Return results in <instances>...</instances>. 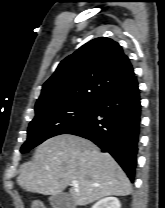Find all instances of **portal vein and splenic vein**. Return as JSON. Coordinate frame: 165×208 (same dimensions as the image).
I'll list each match as a JSON object with an SVG mask.
<instances>
[{"label":"portal vein and splenic vein","instance_id":"portal-vein-and-splenic-vein-1","mask_svg":"<svg viewBox=\"0 0 165 208\" xmlns=\"http://www.w3.org/2000/svg\"><path fill=\"white\" fill-rule=\"evenodd\" d=\"M73 187L77 188L79 186V183L77 181H72L71 184Z\"/></svg>","mask_w":165,"mask_h":208}]
</instances>
